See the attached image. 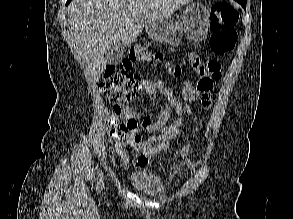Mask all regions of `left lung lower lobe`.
Masks as SVG:
<instances>
[{
  "mask_svg": "<svg viewBox=\"0 0 293 219\" xmlns=\"http://www.w3.org/2000/svg\"><path fill=\"white\" fill-rule=\"evenodd\" d=\"M242 5V7L246 10V0H235Z\"/></svg>",
  "mask_w": 293,
  "mask_h": 219,
  "instance_id": "obj_1",
  "label": "left lung lower lobe"
}]
</instances>
